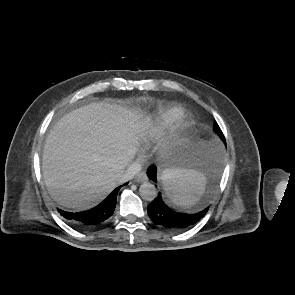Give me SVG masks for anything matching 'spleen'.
<instances>
[{"mask_svg":"<svg viewBox=\"0 0 295 295\" xmlns=\"http://www.w3.org/2000/svg\"><path fill=\"white\" fill-rule=\"evenodd\" d=\"M162 180L171 201L181 207H190L197 203L206 183L203 173L174 169L165 170Z\"/></svg>","mask_w":295,"mask_h":295,"instance_id":"1","label":"spleen"}]
</instances>
